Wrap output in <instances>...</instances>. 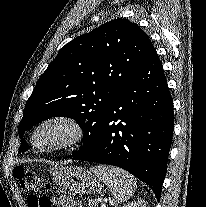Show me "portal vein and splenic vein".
<instances>
[{"mask_svg": "<svg viewBox=\"0 0 206 207\" xmlns=\"http://www.w3.org/2000/svg\"><path fill=\"white\" fill-rule=\"evenodd\" d=\"M106 205H105V203L103 202L102 204H101V207H105Z\"/></svg>", "mask_w": 206, "mask_h": 207, "instance_id": "1", "label": "portal vein and splenic vein"}]
</instances>
